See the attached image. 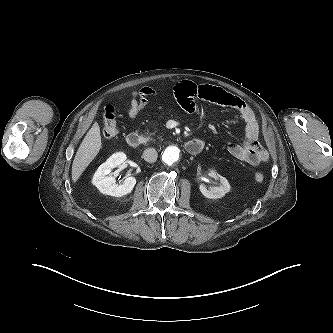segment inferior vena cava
Masks as SVG:
<instances>
[{"label":"inferior vena cava","mask_w":333,"mask_h":333,"mask_svg":"<svg viewBox=\"0 0 333 333\" xmlns=\"http://www.w3.org/2000/svg\"><path fill=\"white\" fill-rule=\"evenodd\" d=\"M158 153L154 148H148L143 152V158L145 161L153 163L157 160Z\"/></svg>","instance_id":"602c4592"}]
</instances>
